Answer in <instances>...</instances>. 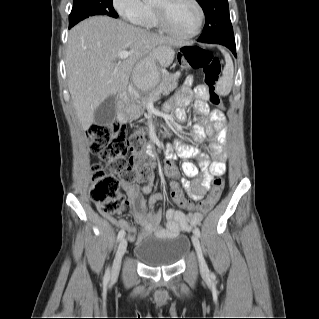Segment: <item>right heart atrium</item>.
<instances>
[{
  "label": "right heart atrium",
  "mask_w": 319,
  "mask_h": 319,
  "mask_svg": "<svg viewBox=\"0 0 319 319\" xmlns=\"http://www.w3.org/2000/svg\"><path fill=\"white\" fill-rule=\"evenodd\" d=\"M113 5L118 14L127 22L134 25H142L146 12V4L143 0H113Z\"/></svg>",
  "instance_id": "1"
}]
</instances>
